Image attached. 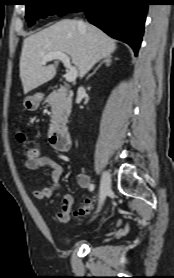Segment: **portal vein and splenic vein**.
Instances as JSON below:
<instances>
[{
	"label": "portal vein and splenic vein",
	"mask_w": 174,
	"mask_h": 278,
	"mask_svg": "<svg viewBox=\"0 0 174 278\" xmlns=\"http://www.w3.org/2000/svg\"><path fill=\"white\" fill-rule=\"evenodd\" d=\"M54 59L62 61L64 66L67 68V73L65 75L66 81H74L77 77L78 71L76 67L71 65L69 56L63 52H52L43 57L42 63L45 64L46 62L52 61Z\"/></svg>",
	"instance_id": "18ae733b"
}]
</instances>
